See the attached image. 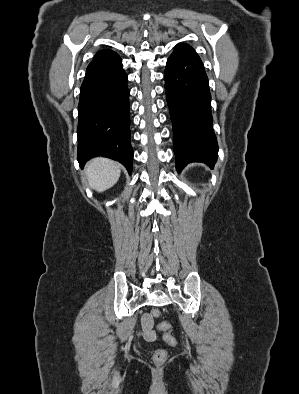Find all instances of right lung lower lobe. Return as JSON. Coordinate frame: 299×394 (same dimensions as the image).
Segmentation results:
<instances>
[{
	"label": "right lung lower lobe",
	"mask_w": 299,
	"mask_h": 394,
	"mask_svg": "<svg viewBox=\"0 0 299 394\" xmlns=\"http://www.w3.org/2000/svg\"><path fill=\"white\" fill-rule=\"evenodd\" d=\"M129 90L119 55L94 58L88 65L78 105V155L81 167L95 156L122 163L132 171Z\"/></svg>",
	"instance_id": "obj_1"
}]
</instances>
